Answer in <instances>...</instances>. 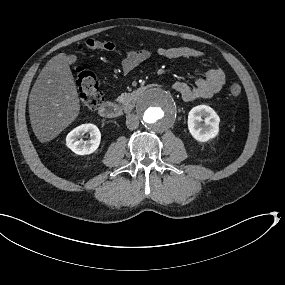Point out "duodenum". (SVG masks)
<instances>
[{"label": "duodenum", "instance_id": "obj_1", "mask_svg": "<svg viewBox=\"0 0 285 285\" xmlns=\"http://www.w3.org/2000/svg\"><path fill=\"white\" fill-rule=\"evenodd\" d=\"M147 89L148 86H141L133 90L122 102L107 101L103 103L99 108V115L105 119H116L129 113Z\"/></svg>", "mask_w": 285, "mask_h": 285}]
</instances>
